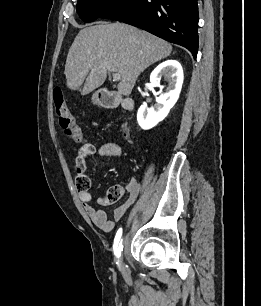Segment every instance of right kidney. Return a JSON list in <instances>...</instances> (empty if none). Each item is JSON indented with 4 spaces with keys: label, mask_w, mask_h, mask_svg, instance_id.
Masks as SVG:
<instances>
[{
    "label": "right kidney",
    "mask_w": 261,
    "mask_h": 306,
    "mask_svg": "<svg viewBox=\"0 0 261 306\" xmlns=\"http://www.w3.org/2000/svg\"><path fill=\"white\" fill-rule=\"evenodd\" d=\"M161 76L169 82L167 92L157 98L156 107L147 108L142 105L138 109L137 121L144 130L153 128L168 115L181 92L184 77L182 66L178 61L167 60L159 64L150 75V85L160 86Z\"/></svg>",
    "instance_id": "right-kidney-1"
}]
</instances>
